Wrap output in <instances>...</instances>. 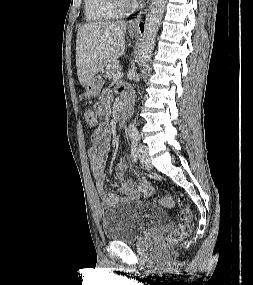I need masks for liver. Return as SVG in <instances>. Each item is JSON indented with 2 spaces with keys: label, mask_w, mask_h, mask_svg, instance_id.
<instances>
[{
  "label": "liver",
  "mask_w": 253,
  "mask_h": 285,
  "mask_svg": "<svg viewBox=\"0 0 253 285\" xmlns=\"http://www.w3.org/2000/svg\"><path fill=\"white\" fill-rule=\"evenodd\" d=\"M126 22H93L78 29L76 67L85 86L104 67L115 63L125 50Z\"/></svg>",
  "instance_id": "1"
}]
</instances>
